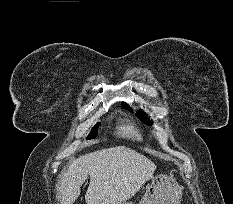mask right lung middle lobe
I'll list each match as a JSON object with an SVG mask.
<instances>
[{
	"mask_svg": "<svg viewBox=\"0 0 233 204\" xmlns=\"http://www.w3.org/2000/svg\"><path fill=\"white\" fill-rule=\"evenodd\" d=\"M99 123H97L91 130L90 134L88 135L87 139H93L97 135V129H98Z\"/></svg>",
	"mask_w": 233,
	"mask_h": 204,
	"instance_id": "right-lung-middle-lobe-1",
	"label": "right lung middle lobe"
}]
</instances>
